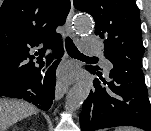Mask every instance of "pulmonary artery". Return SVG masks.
I'll list each match as a JSON object with an SVG mask.
<instances>
[{
    "label": "pulmonary artery",
    "instance_id": "e3ab8cb5",
    "mask_svg": "<svg viewBox=\"0 0 151 131\" xmlns=\"http://www.w3.org/2000/svg\"><path fill=\"white\" fill-rule=\"evenodd\" d=\"M82 49L91 54H97L100 52L101 47H100V42L96 38H86L84 40ZM105 67L107 70H110L112 67V64L109 61H104Z\"/></svg>",
    "mask_w": 151,
    "mask_h": 131
}]
</instances>
